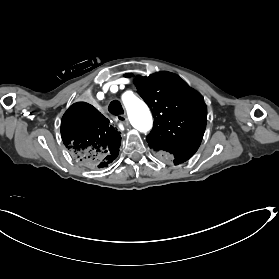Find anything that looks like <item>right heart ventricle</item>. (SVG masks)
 Here are the masks:
<instances>
[{"mask_svg": "<svg viewBox=\"0 0 279 279\" xmlns=\"http://www.w3.org/2000/svg\"><path fill=\"white\" fill-rule=\"evenodd\" d=\"M94 54L84 58V62L88 64L99 63L105 59V56L101 53L102 49H94ZM137 97V93L133 90L125 91L118 99L119 104L128 109Z\"/></svg>", "mask_w": 279, "mask_h": 279, "instance_id": "1", "label": "right heart ventricle"}]
</instances>
